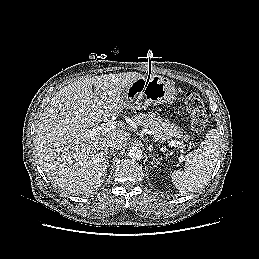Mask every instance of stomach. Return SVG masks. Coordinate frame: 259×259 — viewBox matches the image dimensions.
<instances>
[{
	"label": "stomach",
	"mask_w": 259,
	"mask_h": 259,
	"mask_svg": "<svg viewBox=\"0 0 259 259\" xmlns=\"http://www.w3.org/2000/svg\"><path fill=\"white\" fill-rule=\"evenodd\" d=\"M129 109L140 110L150 105L172 104L176 98L174 84L159 75L142 76L122 93Z\"/></svg>",
	"instance_id": "0dacf381"
}]
</instances>
